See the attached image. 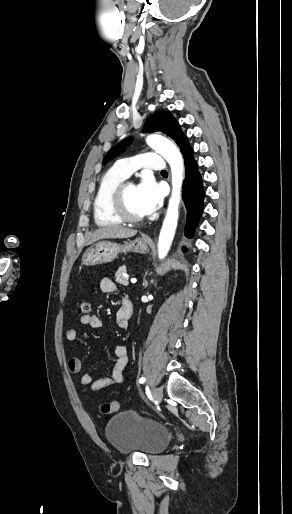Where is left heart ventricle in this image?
<instances>
[{
    "mask_svg": "<svg viewBox=\"0 0 292 514\" xmlns=\"http://www.w3.org/2000/svg\"><path fill=\"white\" fill-rule=\"evenodd\" d=\"M123 203L126 211L134 216L144 214L139 198L137 196L136 187L128 186L123 195Z\"/></svg>",
    "mask_w": 292,
    "mask_h": 514,
    "instance_id": "left-heart-ventricle-1",
    "label": "left heart ventricle"
}]
</instances>
